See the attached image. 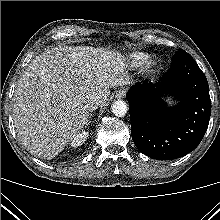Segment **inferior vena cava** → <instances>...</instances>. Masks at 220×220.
Wrapping results in <instances>:
<instances>
[{
  "label": "inferior vena cava",
  "instance_id": "inferior-vena-cava-1",
  "mask_svg": "<svg viewBox=\"0 0 220 220\" xmlns=\"http://www.w3.org/2000/svg\"><path fill=\"white\" fill-rule=\"evenodd\" d=\"M101 100L98 96H93L87 103V108L91 111L96 110L100 106Z\"/></svg>",
  "mask_w": 220,
  "mask_h": 220
}]
</instances>
